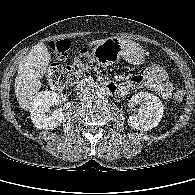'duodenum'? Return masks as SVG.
Returning <instances> with one entry per match:
<instances>
[{"instance_id": "1", "label": "duodenum", "mask_w": 195, "mask_h": 195, "mask_svg": "<svg viewBox=\"0 0 195 195\" xmlns=\"http://www.w3.org/2000/svg\"><path fill=\"white\" fill-rule=\"evenodd\" d=\"M94 85V82L90 79H82L76 84L75 90L78 92H82L86 89L93 87ZM101 87L109 93H116L118 91L117 86L112 82L103 83Z\"/></svg>"}]
</instances>
